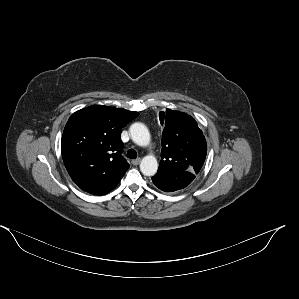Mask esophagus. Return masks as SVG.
Here are the masks:
<instances>
[{
    "label": "esophagus",
    "instance_id": "1",
    "mask_svg": "<svg viewBox=\"0 0 299 299\" xmlns=\"http://www.w3.org/2000/svg\"><path fill=\"white\" fill-rule=\"evenodd\" d=\"M140 161H141L140 158L134 159V160H132V164L133 165H138L140 163Z\"/></svg>",
    "mask_w": 299,
    "mask_h": 299
}]
</instances>
